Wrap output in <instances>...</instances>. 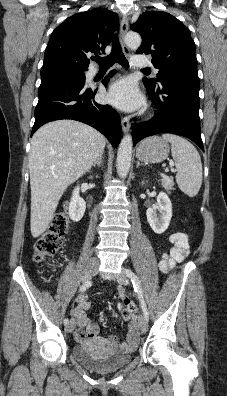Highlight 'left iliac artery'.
<instances>
[{
	"instance_id": "1",
	"label": "left iliac artery",
	"mask_w": 227,
	"mask_h": 396,
	"mask_svg": "<svg viewBox=\"0 0 227 396\" xmlns=\"http://www.w3.org/2000/svg\"><path fill=\"white\" fill-rule=\"evenodd\" d=\"M125 273L132 281L134 290L137 293L139 301L141 303V308H142L144 317H145L146 321H148L149 320V313H148V309H147L146 303L144 301L143 292H142V288H141V284H140L139 278L130 269H126Z\"/></svg>"
}]
</instances>
